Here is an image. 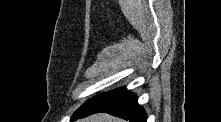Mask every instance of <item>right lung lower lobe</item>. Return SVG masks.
Listing matches in <instances>:
<instances>
[{
    "mask_svg": "<svg viewBox=\"0 0 221 122\" xmlns=\"http://www.w3.org/2000/svg\"><path fill=\"white\" fill-rule=\"evenodd\" d=\"M99 112H106L130 122H147L146 113L138 104L136 96L125 88L112 90L87 101L77 109L72 120Z\"/></svg>",
    "mask_w": 221,
    "mask_h": 122,
    "instance_id": "right-lung-lower-lobe-1",
    "label": "right lung lower lobe"
}]
</instances>
